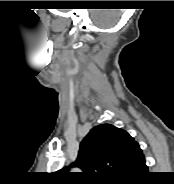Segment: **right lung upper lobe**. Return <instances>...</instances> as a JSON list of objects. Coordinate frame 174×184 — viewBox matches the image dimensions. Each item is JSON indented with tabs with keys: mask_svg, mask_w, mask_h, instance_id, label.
<instances>
[{
	"mask_svg": "<svg viewBox=\"0 0 174 184\" xmlns=\"http://www.w3.org/2000/svg\"><path fill=\"white\" fill-rule=\"evenodd\" d=\"M143 157L138 143L126 131L101 124L82 140L75 164L83 170L79 177L84 182H118ZM67 171L68 168H63L59 174L74 176Z\"/></svg>",
	"mask_w": 174,
	"mask_h": 184,
	"instance_id": "cb5924a9",
	"label": "right lung upper lobe"
}]
</instances>
